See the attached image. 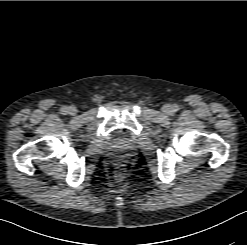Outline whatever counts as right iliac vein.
I'll return each mask as SVG.
<instances>
[{"instance_id":"1","label":"right iliac vein","mask_w":247,"mask_h":245,"mask_svg":"<svg viewBox=\"0 0 247 245\" xmlns=\"http://www.w3.org/2000/svg\"><path fill=\"white\" fill-rule=\"evenodd\" d=\"M78 112L77 108L75 106L68 107V113L72 116L76 115Z\"/></svg>"}]
</instances>
